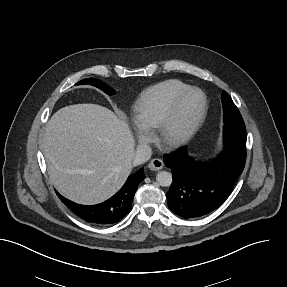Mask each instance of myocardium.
<instances>
[{
	"mask_svg": "<svg viewBox=\"0 0 287 287\" xmlns=\"http://www.w3.org/2000/svg\"><path fill=\"white\" fill-rule=\"evenodd\" d=\"M190 94L198 97L195 112L189 122L177 133L171 132L173 120L178 112L181 102ZM206 113V96L196 87H188L178 93L170 103L167 111L157 126V136L160 143L170 148L184 145L197 131L204 120Z\"/></svg>",
	"mask_w": 287,
	"mask_h": 287,
	"instance_id": "f54148a6",
	"label": "myocardium"
}]
</instances>
